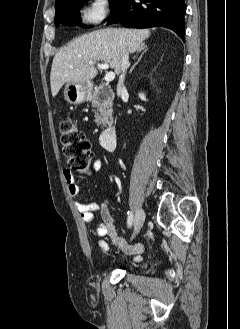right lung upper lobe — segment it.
Instances as JSON below:
<instances>
[{
  "instance_id": "obj_1",
  "label": "right lung upper lobe",
  "mask_w": 240,
  "mask_h": 329,
  "mask_svg": "<svg viewBox=\"0 0 240 329\" xmlns=\"http://www.w3.org/2000/svg\"><path fill=\"white\" fill-rule=\"evenodd\" d=\"M68 0H56L55 2V8L59 7L60 5H62L63 3H65Z\"/></svg>"
}]
</instances>
